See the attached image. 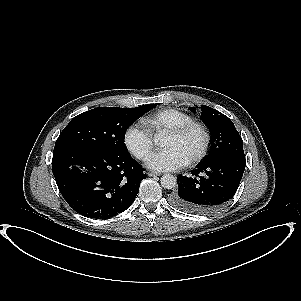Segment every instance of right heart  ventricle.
<instances>
[{
	"label": "right heart ventricle",
	"mask_w": 301,
	"mask_h": 301,
	"mask_svg": "<svg viewBox=\"0 0 301 301\" xmlns=\"http://www.w3.org/2000/svg\"><path fill=\"white\" fill-rule=\"evenodd\" d=\"M192 121V117L185 112L178 109H167L148 118L145 123L148 131L154 136L159 137L169 129L179 127Z\"/></svg>",
	"instance_id": "obj_1"
}]
</instances>
